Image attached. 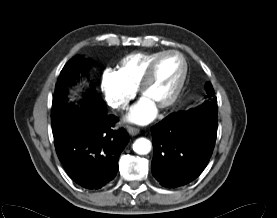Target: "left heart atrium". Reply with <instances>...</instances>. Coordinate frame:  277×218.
<instances>
[{
	"instance_id": "1",
	"label": "left heart atrium",
	"mask_w": 277,
	"mask_h": 218,
	"mask_svg": "<svg viewBox=\"0 0 277 218\" xmlns=\"http://www.w3.org/2000/svg\"><path fill=\"white\" fill-rule=\"evenodd\" d=\"M157 114V107L145 96L131 108L127 119L137 124H147L152 121Z\"/></svg>"
}]
</instances>
